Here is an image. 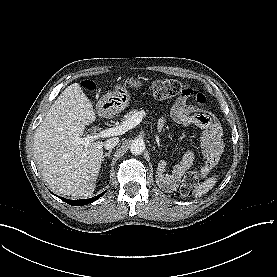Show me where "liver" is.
<instances>
[{"instance_id": "6515ba94", "label": "liver", "mask_w": 277, "mask_h": 277, "mask_svg": "<svg viewBox=\"0 0 277 277\" xmlns=\"http://www.w3.org/2000/svg\"><path fill=\"white\" fill-rule=\"evenodd\" d=\"M96 119L93 105L79 83L54 101L34 134V158L49 187L74 198L92 194L100 172L103 142L80 144L85 126Z\"/></svg>"}]
</instances>
